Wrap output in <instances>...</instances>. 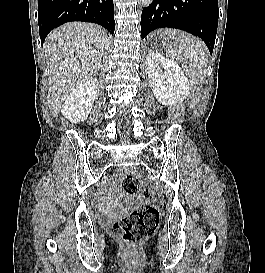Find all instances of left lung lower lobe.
Returning a JSON list of instances; mask_svg holds the SVG:
<instances>
[{
    "label": "left lung lower lobe",
    "mask_w": 265,
    "mask_h": 273,
    "mask_svg": "<svg viewBox=\"0 0 265 273\" xmlns=\"http://www.w3.org/2000/svg\"><path fill=\"white\" fill-rule=\"evenodd\" d=\"M218 26V0H154L143 8L141 37L162 28H177L200 37L212 54Z\"/></svg>",
    "instance_id": "1"
}]
</instances>
